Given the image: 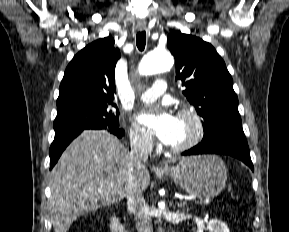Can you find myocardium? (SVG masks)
I'll list each match as a JSON object with an SVG mask.
<instances>
[{"mask_svg":"<svg viewBox=\"0 0 289 232\" xmlns=\"http://www.w3.org/2000/svg\"><path fill=\"white\" fill-rule=\"evenodd\" d=\"M177 117L189 118L195 127L193 136L186 143L179 146H170L171 151L181 153L195 147L201 142L205 134V124L200 114L192 108L181 109Z\"/></svg>","mask_w":289,"mask_h":232,"instance_id":"myocardium-1","label":"myocardium"}]
</instances>
